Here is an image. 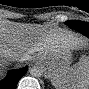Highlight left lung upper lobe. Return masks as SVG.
<instances>
[{
  "label": "left lung upper lobe",
  "mask_w": 89,
  "mask_h": 89,
  "mask_svg": "<svg viewBox=\"0 0 89 89\" xmlns=\"http://www.w3.org/2000/svg\"><path fill=\"white\" fill-rule=\"evenodd\" d=\"M66 24L72 29L87 28L89 30V24L83 21L78 20L67 21Z\"/></svg>",
  "instance_id": "obj_1"
}]
</instances>
